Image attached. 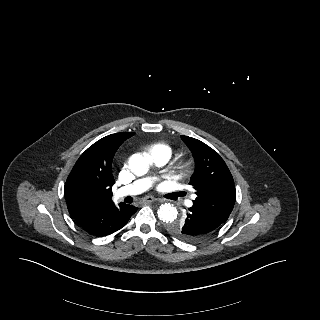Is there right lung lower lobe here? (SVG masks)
Returning <instances> with one entry per match:
<instances>
[{
  "label": "right lung lower lobe",
  "mask_w": 320,
  "mask_h": 320,
  "mask_svg": "<svg viewBox=\"0 0 320 320\" xmlns=\"http://www.w3.org/2000/svg\"><path fill=\"white\" fill-rule=\"evenodd\" d=\"M137 209L125 203L116 206L114 202H111L72 217L77 225L87 233L103 237L124 227Z\"/></svg>",
  "instance_id": "obj_1"
}]
</instances>
